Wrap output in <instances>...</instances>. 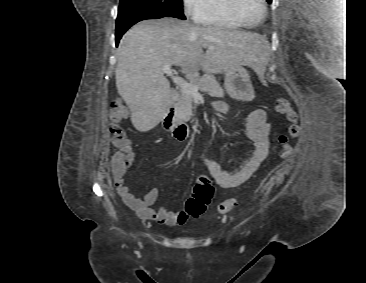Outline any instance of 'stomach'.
I'll return each mask as SVG.
<instances>
[{"label": "stomach", "instance_id": "stomach-1", "mask_svg": "<svg viewBox=\"0 0 366 283\" xmlns=\"http://www.w3.org/2000/svg\"><path fill=\"white\" fill-rule=\"evenodd\" d=\"M245 83L250 86V79L247 71L242 65H237L225 70V89L232 98L240 95V86Z\"/></svg>", "mask_w": 366, "mask_h": 283}]
</instances>
